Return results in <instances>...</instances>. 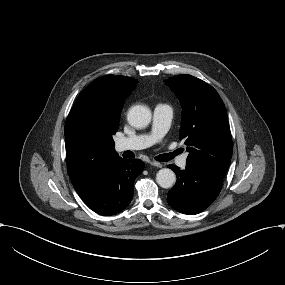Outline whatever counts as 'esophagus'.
Segmentation results:
<instances>
[{
    "label": "esophagus",
    "instance_id": "obj_1",
    "mask_svg": "<svg viewBox=\"0 0 285 285\" xmlns=\"http://www.w3.org/2000/svg\"><path fill=\"white\" fill-rule=\"evenodd\" d=\"M150 165L154 166V167H158V168H161L163 167V165L159 162H156V161H151L150 162Z\"/></svg>",
    "mask_w": 285,
    "mask_h": 285
}]
</instances>
